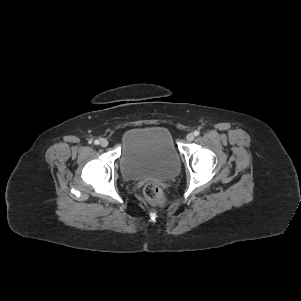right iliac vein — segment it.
<instances>
[{"label": "right iliac vein", "mask_w": 301, "mask_h": 301, "mask_svg": "<svg viewBox=\"0 0 301 301\" xmlns=\"http://www.w3.org/2000/svg\"><path fill=\"white\" fill-rule=\"evenodd\" d=\"M99 145H100L101 147H107V146H108V140L105 139V138H100V139H99Z\"/></svg>", "instance_id": "right-iliac-vein-1"}]
</instances>
